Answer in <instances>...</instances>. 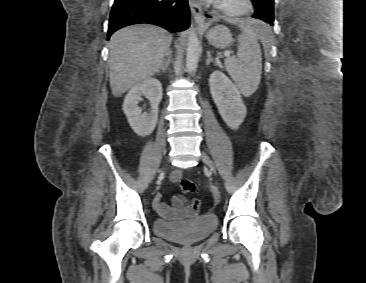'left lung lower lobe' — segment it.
Instances as JSON below:
<instances>
[{
	"mask_svg": "<svg viewBox=\"0 0 366 283\" xmlns=\"http://www.w3.org/2000/svg\"><path fill=\"white\" fill-rule=\"evenodd\" d=\"M207 17H211V16L207 15ZM252 17H253V18H256V17H255V15H253Z\"/></svg>",
	"mask_w": 366,
	"mask_h": 283,
	"instance_id": "0a47b994",
	"label": "left lung lower lobe"
}]
</instances>
